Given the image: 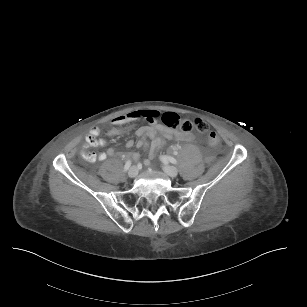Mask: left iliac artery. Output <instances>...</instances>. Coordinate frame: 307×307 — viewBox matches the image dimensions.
Here are the masks:
<instances>
[{
    "instance_id": "1",
    "label": "left iliac artery",
    "mask_w": 307,
    "mask_h": 307,
    "mask_svg": "<svg viewBox=\"0 0 307 307\" xmlns=\"http://www.w3.org/2000/svg\"><path fill=\"white\" fill-rule=\"evenodd\" d=\"M162 161L163 162H170L172 164H177V160L173 157H170V156H162Z\"/></svg>"
}]
</instances>
